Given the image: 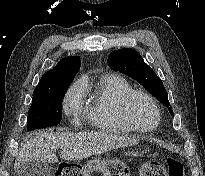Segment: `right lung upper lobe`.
I'll use <instances>...</instances> for the list:
<instances>
[{"label":"right lung upper lobe","instance_id":"right-lung-upper-lobe-1","mask_svg":"<svg viewBox=\"0 0 205 176\" xmlns=\"http://www.w3.org/2000/svg\"><path fill=\"white\" fill-rule=\"evenodd\" d=\"M81 66L80 57L69 56L61 59L51 70L41 77L33 96L54 92L60 87L69 86Z\"/></svg>","mask_w":205,"mask_h":176}]
</instances>
